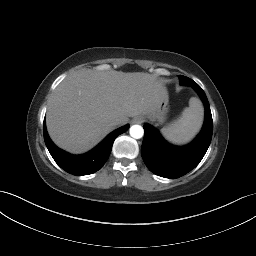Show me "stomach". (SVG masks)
Returning <instances> with one entry per match:
<instances>
[{
	"instance_id": "1",
	"label": "stomach",
	"mask_w": 256,
	"mask_h": 256,
	"mask_svg": "<svg viewBox=\"0 0 256 256\" xmlns=\"http://www.w3.org/2000/svg\"><path fill=\"white\" fill-rule=\"evenodd\" d=\"M169 110V99L168 95L163 97L155 106L154 110L146 115L151 121H157L158 123L162 124L166 120V116Z\"/></svg>"
}]
</instances>
